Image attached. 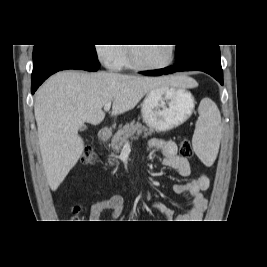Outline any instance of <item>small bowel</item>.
I'll list each match as a JSON object with an SVG mask.
<instances>
[{"label": "small bowel", "mask_w": 267, "mask_h": 267, "mask_svg": "<svg viewBox=\"0 0 267 267\" xmlns=\"http://www.w3.org/2000/svg\"><path fill=\"white\" fill-rule=\"evenodd\" d=\"M148 147L157 149L162 153L164 157L163 165L176 170L181 176L190 175L191 167L189 161L178 154L177 144L174 141L154 138L149 140ZM209 184V177L205 174H200L187 183L173 186L175 193H187L193 200L191 209L181 216L175 217L173 211L161 203H155L154 207L170 222H195L201 219L206 211L207 200L203 195V191L208 188ZM108 209L113 210L112 219H119L124 210L123 197L119 194H114L107 198L96 200L91 204L87 218L92 222H97L101 213Z\"/></svg>", "instance_id": "obj_1"}]
</instances>
